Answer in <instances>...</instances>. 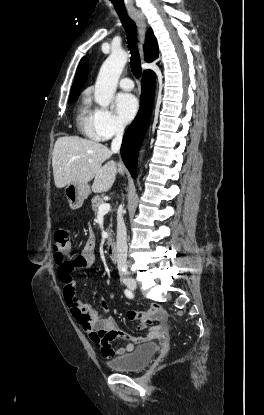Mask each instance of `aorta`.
Returning a JSON list of instances; mask_svg holds the SVG:
<instances>
[{
  "mask_svg": "<svg viewBox=\"0 0 264 415\" xmlns=\"http://www.w3.org/2000/svg\"><path fill=\"white\" fill-rule=\"evenodd\" d=\"M127 59L128 54L124 50H113L102 64L94 92L95 101L100 106L107 107L111 103Z\"/></svg>",
  "mask_w": 264,
  "mask_h": 415,
  "instance_id": "1",
  "label": "aorta"
}]
</instances>
